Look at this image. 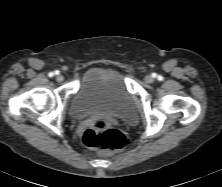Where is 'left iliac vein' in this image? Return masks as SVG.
I'll return each instance as SVG.
<instances>
[{"label":"left iliac vein","mask_w":222,"mask_h":187,"mask_svg":"<svg viewBox=\"0 0 222 187\" xmlns=\"http://www.w3.org/2000/svg\"><path fill=\"white\" fill-rule=\"evenodd\" d=\"M145 82L152 83L154 81V78L151 75H147L144 78Z\"/></svg>","instance_id":"4c4485c4"}]
</instances>
